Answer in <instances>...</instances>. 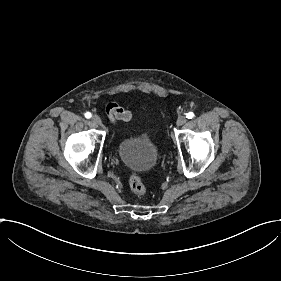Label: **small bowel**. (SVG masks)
I'll return each mask as SVG.
<instances>
[{"instance_id":"1","label":"small bowel","mask_w":281,"mask_h":281,"mask_svg":"<svg viewBox=\"0 0 281 281\" xmlns=\"http://www.w3.org/2000/svg\"><path fill=\"white\" fill-rule=\"evenodd\" d=\"M107 116L111 122L131 121L133 115L130 111L121 108L117 103L112 102L107 109Z\"/></svg>"}]
</instances>
